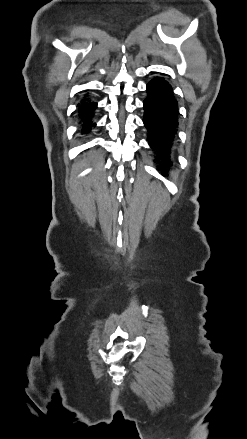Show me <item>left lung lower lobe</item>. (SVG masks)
I'll return each instance as SVG.
<instances>
[{"label":"left lung lower lobe","instance_id":"left-lung-lower-lobe-1","mask_svg":"<svg viewBox=\"0 0 247 439\" xmlns=\"http://www.w3.org/2000/svg\"><path fill=\"white\" fill-rule=\"evenodd\" d=\"M147 92L148 97L143 102V122L149 131L150 146L160 154L163 166H166L178 125L177 102L172 96L171 86L162 78L151 80Z\"/></svg>","mask_w":247,"mask_h":439}]
</instances>
